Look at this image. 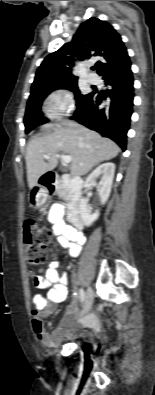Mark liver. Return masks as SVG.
Listing matches in <instances>:
<instances>
[{
    "mask_svg": "<svg viewBox=\"0 0 155 395\" xmlns=\"http://www.w3.org/2000/svg\"><path fill=\"white\" fill-rule=\"evenodd\" d=\"M50 133L32 139L26 151L27 180L30 189L35 187L45 173L58 164V153L71 156L70 171L75 176L87 174L94 166L113 159L120 152L119 146L109 138L81 124L64 120L42 126ZM44 155H49L45 162Z\"/></svg>",
    "mask_w": 155,
    "mask_h": 395,
    "instance_id": "1",
    "label": "liver"
}]
</instances>
